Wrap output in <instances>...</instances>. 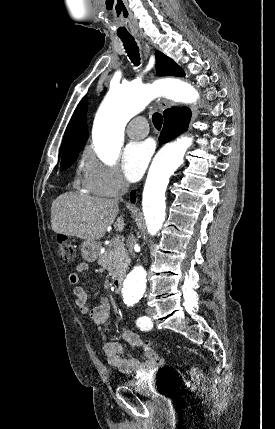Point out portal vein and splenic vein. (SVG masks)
Instances as JSON below:
<instances>
[{
  "mask_svg": "<svg viewBox=\"0 0 275 429\" xmlns=\"http://www.w3.org/2000/svg\"><path fill=\"white\" fill-rule=\"evenodd\" d=\"M113 241H119V239H115V240H113Z\"/></svg>",
  "mask_w": 275,
  "mask_h": 429,
  "instance_id": "portal-vein-and-splenic-vein-1",
  "label": "portal vein and splenic vein"
}]
</instances>
